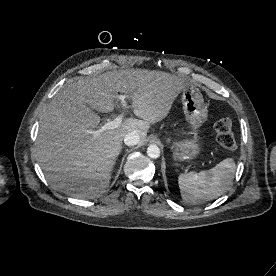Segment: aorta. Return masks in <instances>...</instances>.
<instances>
[{
  "label": "aorta",
  "mask_w": 276,
  "mask_h": 276,
  "mask_svg": "<svg viewBox=\"0 0 276 276\" xmlns=\"http://www.w3.org/2000/svg\"><path fill=\"white\" fill-rule=\"evenodd\" d=\"M147 155L152 159H157L160 157V149L157 145H149L147 148Z\"/></svg>",
  "instance_id": "1"
}]
</instances>
